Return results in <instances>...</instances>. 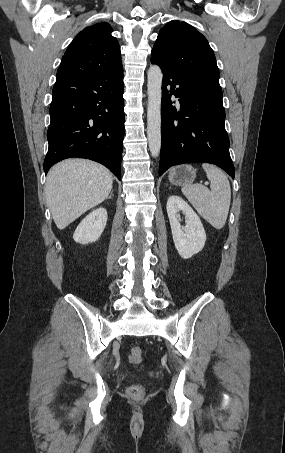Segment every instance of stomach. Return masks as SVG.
I'll list each match as a JSON object with an SVG mask.
<instances>
[{"label":"stomach","instance_id":"obj_1","mask_svg":"<svg viewBox=\"0 0 285 453\" xmlns=\"http://www.w3.org/2000/svg\"><path fill=\"white\" fill-rule=\"evenodd\" d=\"M196 177V169L191 165H180L172 168L169 173V180L173 185H190Z\"/></svg>","mask_w":285,"mask_h":453}]
</instances>
